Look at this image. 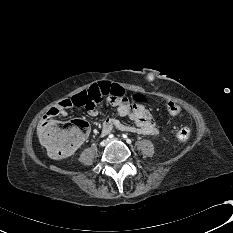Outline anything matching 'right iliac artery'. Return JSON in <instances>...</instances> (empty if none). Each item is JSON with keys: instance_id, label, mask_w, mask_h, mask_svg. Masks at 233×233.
<instances>
[{"instance_id": "obj_1", "label": "right iliac artery", "mask_w": 233, "mask_h": 233, "mask_svg": "<svg viewBox=\"0 0 233 233\" xmlns=\"http://www.w3.org/2000/svg\"><path fill=\"white\" fill-rule=\"evenodd\" d=\"M108 137H109V138H113V137H114V135H113V134H110Z\"/></svg>"}]
</instances>
